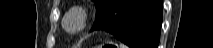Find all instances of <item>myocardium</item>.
Wrapping results in <instances>:
<instances>
[{
    "label": "myocardium",
    "mask_w": 213,
    "mask_h": 48,
    "mask_svg": "<svg viewBox=\"0 0 213 48\" xmlns=\"http://www.w3.org/2000/svg\"><path fill=\"white\" fill-rule=\"evenodd\" d=\"M70 19H74L77 22V26L74 29H70L67 25ZM88 15L86 9L83 7H73L70 8L64 15L62 26L63 28L71 34H77L83 31L87 26Z\"/></svg>",
    "instance_id": "1"
}]
</instances>
